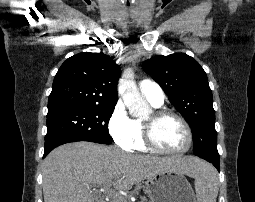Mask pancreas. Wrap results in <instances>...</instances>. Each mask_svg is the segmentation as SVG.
Instances as JSON below:
<instances>
[{
  "label": "pancreas",
  "instance_id": "cf45deb5",
  "mask_svg": "<svg viewBox=\"0 0 255 202\" xmlns=\"http://www.w3.org/2000/svg\"><path fill=\"white\" fill-rule=\"evenodd\" d=\"M112 202H128L127 198L121 195L116 196Z\"/></svg>",
  "mask_w": 255,
  "mask_h": 202
}]
</instances>
